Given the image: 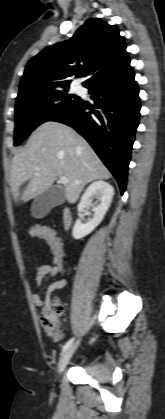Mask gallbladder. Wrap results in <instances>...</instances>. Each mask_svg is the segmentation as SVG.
<instances>
[{"mask_svg":"<svg viewBox=\"0 0 165 419\" xmlns=\"http://www.w3.org/2000/svg\"><path fill=\"white\" fill-rule=\"evenodd\" d=\"M65 192L57 187H50L37 196L31 206V214L35 218H43L52 208L63 204Z\"/></svg>","mask_w":165,"mask_h":419,"instance_id":"bac80fb5","label":"gallbladder"}]
</instances>
